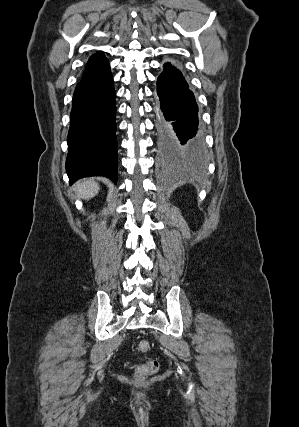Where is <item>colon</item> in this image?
I'll return each instance as SVG.
<instances>
[{"instance_id": "1", "label": "colon", "mask_w": 299, "mask_h": 427, "mask_svg": "<svg viewBox=\"0 0 299 427\" xmlns=\"http://www.w3.org/2000/svg\"><path fill=\"white\" fill-rule=\"evenodd\" d=\"M138 348L142 352L149 350L150 345L147 341H140ZM158 369V362L156 360H148L147 362L140 364L135 371V376L138 379H144L152 374H154Z\"/></svg>"}]
</instances>
